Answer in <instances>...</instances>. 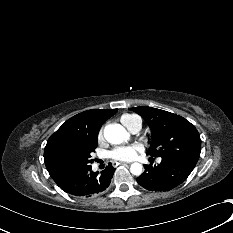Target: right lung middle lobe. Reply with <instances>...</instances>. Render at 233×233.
<instances>
[{
    "mask_svg": "<svg viewBox=\"0 0 233 233\" xmlns=\"http://www.w3.org/2000/svg\"><path fill=\"white\" fill-rule=\"evenodd\" d=\"M97 141L87 143L83 146H74L64 149L58 157V166L65 176L90 167L93 162L91 153L97 147Z\"/></svg>",
    "mask_w": 233,
    "mask_h": 233,
    "instance_id": "1",
    "label": "right lung middle lobe"
}]
</instances>
